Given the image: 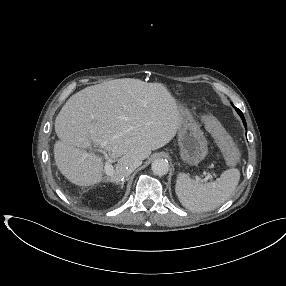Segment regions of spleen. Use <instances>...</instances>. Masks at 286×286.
Masks as SVG:
<instances>
[{"label":"spleen","mask_w":286,"mask_h":286,"mask_svg":"<svg viewBox=\"0 0 286 286\" xmlns=\"http://www.w3.org/2000/svg\"><path fill=\"white\" fill-rule=\"evenodd\" d=\"M240 180L237 168L225 170L220 178L205 184L179 173L175 192L182 205L193 212L214 210L225 203L234 193Z\"/></svg>","instance_id":"obj_1"}]
</instances>
